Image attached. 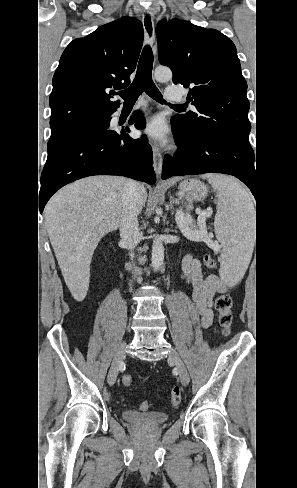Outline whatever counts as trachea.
Segmentation results:
<instances>
[{"mask_svg": "<svg viewBox=\"0 0 297 488\" xmlns=\"http://www.w3.org/2000/svg\"><path fill=\"white\" fill-rule=\"evenodd\" d=\"M153 67V52L149 45L143 48L137 73L133 83L119 94L124 99V104H134L138 97L145 91V93L152 99L165 103L162 94L152 80ZM172 107L182 108V105H171Z\"/></svg>", "mask_w": 297, "mask_h": 488, "instance_id": "3493384b", "label": "trachea"}]
</instances>
